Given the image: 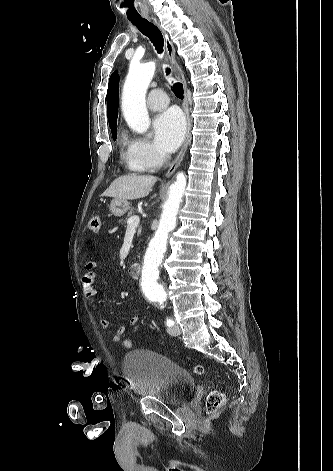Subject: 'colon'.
Here are the masks:
<instances>
[{"mask_svg":"<svg viewBox=\"0 0 333 471\" xmlns=\"http://www.w3.org/2000/svg\"><path fill=\"white\" fill-rule=\"evenodd\" d=\"M88 228L91 231H97L100 228V218L98 216H92L88 222ZM121 344L124 348L129 349L132 347V340L124 338L121 341ZM193 371L197 375L206 374L205 368L197 364L193 367ZM225 401L224 394L218 390L211 391L206 399V413L208 415L214 413Z\"/></svg>","mask_w":333,"mask_h":471,"instance_id":"1","label":"colon"}]
</instances>
